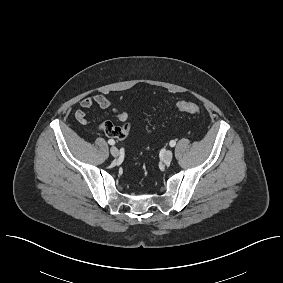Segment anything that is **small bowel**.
<instances>
[{
    "mask_svg": "<svg viewBox=\"0 0 283 283\" xmlns=\"http://www.w3.org/2000/svg\"><path fill=\"white\" fill-rule=\"evenodd\" d=\"M81 109L76 111L75 118L76 120L82 124L87 125V112L91 110L93 107L97 106L103 110H109L117 120L123 122L124 125L118 127L119 134L116 137L117 139L123 140L127 138L130 133L131 125L127 123L128 120V113L125 110H120L117 108L112 107L110 100L103 94H94L90 96L84 97L80 101Z\"/></svg>",
    "mask_w": 283,
    "mask_h": 283,
    "instance_id": "c3829d8e",
    "label": "small bowel"
}]
</instances>
